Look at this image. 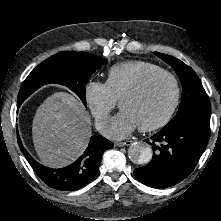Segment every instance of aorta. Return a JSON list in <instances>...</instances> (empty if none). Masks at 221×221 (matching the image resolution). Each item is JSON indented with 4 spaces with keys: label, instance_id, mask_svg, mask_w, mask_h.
I'll return each instance as SVG.
<instances>
[{
    "label": "aorta",
    "instance_id": "1",
    "mask_svg": "<svg viewBox=\"0 0 221 221\" xmlns=\"http://www.w3.org/2000/svg\"><path fill=\"white\" fill-rule=\"evenodd\" d=\"M153 156L151 146L144 142H134L128 148L129 159L139 165L148 164Z\"/></svg>",
    "mask_w": 221,
    "mask_h": 221
}]
</instances>
